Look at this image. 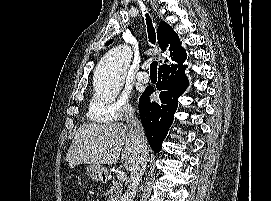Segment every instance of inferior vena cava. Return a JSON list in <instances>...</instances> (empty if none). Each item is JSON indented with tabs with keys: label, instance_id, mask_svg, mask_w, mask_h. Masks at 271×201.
I'll return each instance as SVG.
<instances>
[{
	"label": "inferior vena cava",
	"instance_id": "inferior-vena-cava-1",
	"mask_svg": "<svg viewBox=\"0 0 271 201\" xmlns=\"http://www.w3.org/2000/svg\"><path fill=\"white\" fill-rule=\"evenodd\" d=\"M129 132L136 149V156L131 170L130 184L122 197V201H133L137 188L146 169L148 150L147 139L142 123L131 114L127 120Z\"/></svg>",
	"mask_w": 271,
	"mask_h": 201
}]
</instances>
